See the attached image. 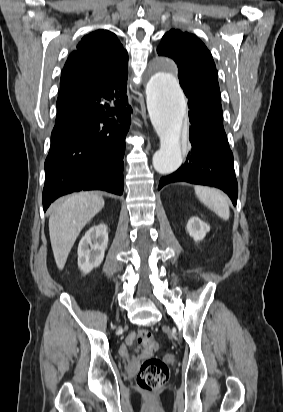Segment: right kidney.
I'll use <instances>...</instances> for the list:
<instances>
[{"mask_svg":"<svg viewBox=\"0 0 283 412\" xmlns=\"http://www.w3.org/2000/svg\"><path fill=\"white\" fill-rule=\"evenodd\" d=\"M108 245V232L105 224L91 227L78 246V267L87 274L100 266Z\"/></svg>","mask_w":283,"mask_h":412,"instance_id":"ca27d5eb","label":"right kidney"}]
</instances>
